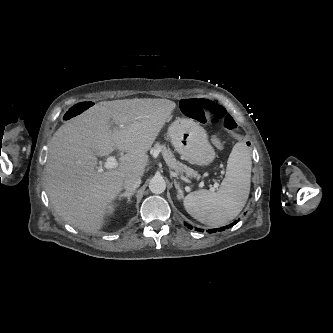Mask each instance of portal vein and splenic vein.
I'll return each mask as SVG.
<instances>
[{"mask_svg":"<svg viewBox=\"0 0 333 333\" xmlns=\"http://www.w3.org/2000/svg\"><path fill=\"white\" fill-rule=\"evenodd\" d=\"M118 163L116 161V158L114 156H110L107 158L106 162L104 163L105 169H113L117 167ZM183 180L187 181L184 177H181ZM218 187V184L214 185V189Z\"/></svg>","mask_w":333,"mask_h":333,"instance_id":"obj_1","label":"portal vein and splenic vein"}]
</instances>
